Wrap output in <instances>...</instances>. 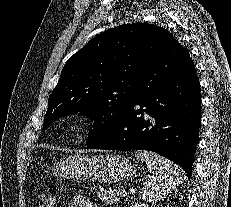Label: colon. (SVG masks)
<instances>
[{
    "mask_svg": "<svg viewBox=\"0 0 231 207\" xmlns=\"http://www.w3.org/2000/svg\"><path fill=\"white\" fill-rule=\"evenodd\" d=\"M39 207H56V201L53 195H41L39 197Z\"/></svg>",
    "mask_w": 231,
    "mask_h": 207,
    "instance_id": "obj_1",
    "label": "colon"
}]
</instances>
